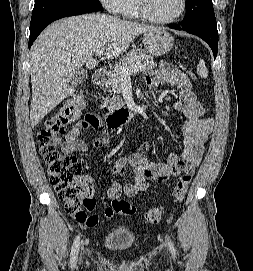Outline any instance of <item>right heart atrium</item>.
Listing matches in <instances>:
<instances>
[{
  "mask_svg": "<svg viewBox=\"0 0 253 271\" xmlns=\"http://www.w3.org/2000/svg\"><path fill=\"white\" fill-rule=\"evenodd\" d=\"M101 3L111 12L119 13L122 10L125 0H100Z\"/></svg>",
  "mask_w": 253,
  "mask_h": 271,
  "instance_id": "d8ad5b80",
  "label": "right heart atrium"
}]
</instances>
